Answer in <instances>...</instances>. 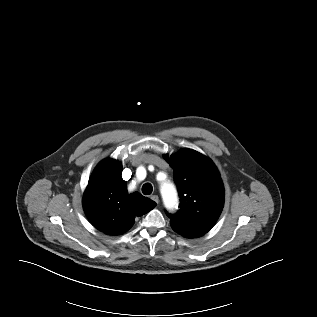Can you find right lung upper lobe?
<instances>
[{
  "instance_id": "right-lung-upper-lobe-1",
  "label": "right lung upper lobe",
  "mask_w": 317,
  "mask_h": 317,
  "mask_svg": "<svg viewBox=\"0 0 317 317\" xmlns=\"http://www.w3.org/2000/svg\"><path fill=\"white\" fill-rule=\"evenodd\" d=\"M122 165L105 159L95 168L83 197L86 216L100 231L120 235L129 230L136 216L152 210L156 203L139 193L128 195L121 177Z\"/></svg>"
}]
</instances>
